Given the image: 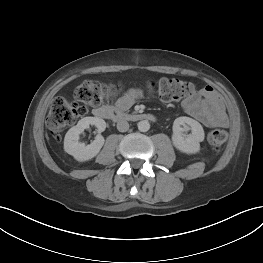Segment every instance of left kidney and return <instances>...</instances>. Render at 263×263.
<instances>
[{"mask_svg": "<svg viewBox=\"0 0 263 263\" xmlns=\"http://www.w3.org/2000/svg\"><path fill=\"white\" fill-rule=\"evenodd\" d=\"M172 129V141L178 150L187 154H195L200 150V142L204 140L205 134L199 122L186 116L178 117ZM189 130L191 134H187Z\"/></svg>", "mask_w": 263, "mask_h": 263, "instance_id": "5707ae66", "label": "left kidney"}]
</instances>
